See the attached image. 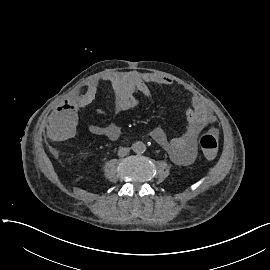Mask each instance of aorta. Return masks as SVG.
Listing matches in <instances>:
<instances>
[{
  "label": "aorta",
  "mask_w": 270,
  "mask_h": 270,
  "mask_svg": "<svg viewBox=\"0 0 270 270\" xmlns=\"http://www.w3.org/2000/svg\"><path fill=\"white\" fill-rule=\"evenodd\" d=\"M132 150L137 154H142L146 151V145L142 141H137L132 144Z\"/></svg>",
  "instance_id": "762f6f07"
}]
</instances>
